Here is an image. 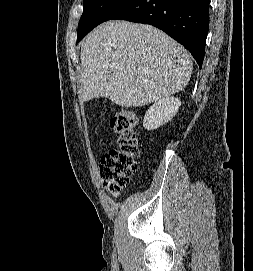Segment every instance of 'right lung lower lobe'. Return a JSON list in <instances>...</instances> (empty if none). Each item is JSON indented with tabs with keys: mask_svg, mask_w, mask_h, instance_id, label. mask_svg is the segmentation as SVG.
<instances>
[{
	"mask_svg": "<svg viewBox=\"0 0 253 271\" xmlns=\"http://www.w3.org/2000/svg\"><path fill=\"white\" fill-rule=\"evenodd\" d=\"M210 0H130L112 20L150 24L187 48L202 67Z\"/></svg>",
	"mask_w": 253,
	"mask_h": 271,
	"instance_id": "98d812e1",
	"label": "right lung lower lobe"
}]
</instances>
